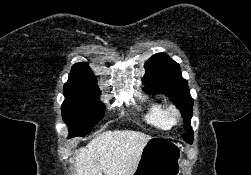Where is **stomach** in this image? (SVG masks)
Wrapping results in <instances>:
<instances>
[{
  "label": "stomach",
  "instance_id": "0dacf381",
  "mask_svg": "<svg viewBox=\"0 0 251 175\" xmlns=\"http://www.w3.org/2000/svg\"><path fill=\"white\" fill-rule=\"evenodd\" d=\"M181 159V143L162 135H152L145 143L132 175H180Z\"/></svg>",
  "mask_w": 251,
  "mask_h": 175
}]
</instances>
